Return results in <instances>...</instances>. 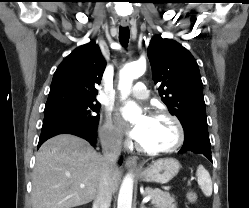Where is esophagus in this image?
Wrapping results in <instances>:
<instances>
[{
  "label": "esophagus",
  "instance_id": "1",
  "mask_svg": "<svg viewBox=\"0 0 249 208\" xmlns=\"http://www.w3.org/2000/svg\"><path fill=\"white\" fill-rule=\"evenodd\" d=\"M122 27H127L129 25L128 19H122L120 22ZM125 166L129 169H137V160L135 157L129 156L125 161Z\"/></svg>",
  "mask_w": 249,
  "mask_h": 208
}]
</instances>
